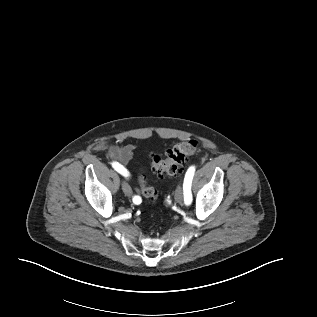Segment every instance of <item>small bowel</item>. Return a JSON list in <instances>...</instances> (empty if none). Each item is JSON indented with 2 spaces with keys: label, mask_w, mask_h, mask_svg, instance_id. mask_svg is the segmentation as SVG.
Returning <instances> with one entry per match:
<instances>
[{
  "label": "small bowel",
  "mask_w": 317,
  "mask_h": 317,
  "mask_svg": "<svg viewBox=\"0 0 317 317\" xmlns=\"http://www.w3.org/2000/svg\"><path fill=\"white\" fill-rule=\"evenodd\" d=\"M107 155L110 159H113L114 162L119 163L123 168L130 162L133 156V145L127 144L123 146L111 145L107 149ZM126 169V168H125ZM132 195V190L131 194ZM138 196V195H135Z\"/></svg>",
  "instance_id": "obj_1"
}]
</instances>
